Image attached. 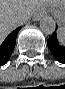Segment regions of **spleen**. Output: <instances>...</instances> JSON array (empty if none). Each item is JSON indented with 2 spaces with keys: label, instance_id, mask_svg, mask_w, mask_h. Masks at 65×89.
Segmentation results:
<instances>
[{
  "label": "spleen",
  "instance_id": "spleen-1",
  "mask_svg": "<svg viewBox=\"0 0 65 89\" xmlns=\"http://www.w3.org/2000/svg\"><path fill=\"white\" fill-rule=\"evenodd\" d=\"M58 40L60 44H65V30L63 27H60L57 32Z\"/></svg>",
  "mask_w": 65,
  "mask_h": 89
}]
</instances>
